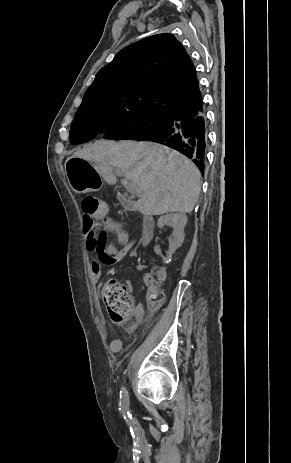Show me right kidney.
<instances>
[{
  "instance_id": "right-kidney-1",
  "label": "right kidney",
  "mask_w": 291,
  "mask_h": 463,
  "mask_svg": "<svg viewBox=\"0 0 291 463\" xmlns=\"http://www.w3.org/2000/svg\"><path fill=\"white\" fill-rule=\"evenodd\" d=\"M187 216L184 213H170L161 216L158 219V227L163 228L164 226H170L173 228L172 238L169 240V251L165 258L168 260L171 255L179 248L184 241V228L187 224ZM155 250L160 253L159 246L155 247Z\"/></svg>"
}]
</instances>
